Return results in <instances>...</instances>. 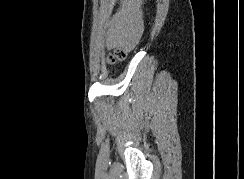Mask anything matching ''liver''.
Listing matches in <instances>:
<instances>
[{"mask_svg": "<svg viewBox=\"0 0 244 179\" xmlns=\"http://www.w3.org/2000/svg\"><path fill=\"white\" fill-rule=\"evenodd\" d=\"M121 2L117 14L109 24L107 46L131 52L144 32L143 0H121Z\"/></svg>", "mask_w": 244, "mask_h": 179, "instance_id": "liver-1", "label": "liver"}]
</instances>
